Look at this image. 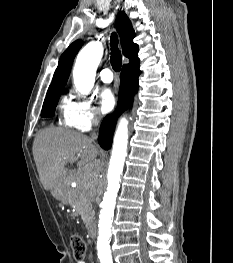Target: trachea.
Segmentation results:
<instances>
[{
    "label": "trachea",
    "mask_w": 233,
    "mask_h": 263,
    "mask_svg": "<svg viewBox=\"0 0 233 263\" xmlns=\"http://www.w3.org/2000/svg\"><path fill=\"white\" fill-rule=\"evenodd\" d=\"M118 40L115 33L111 35V58L110 62L114 71H120L122 66V56L118 49Z\"/></svg>",
    "instance_id": "1"
}]
</instances>
